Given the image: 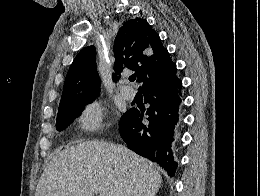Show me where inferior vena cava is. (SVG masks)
<instances>
[{"label": "inferior vena cava", "instance_id": "1", "mask_svg": "<svg viewBox=\"0 0 260 196\" xmlns=\"http://www.w3.org/2000/svg\"><path fill=\"white\" fill-rule=\"evenodd\" d=\"M125 196H134L132 190H127V192H125Z\"/></svg>", "mask_w": 260, "mask_h": 196}]
</instances>
